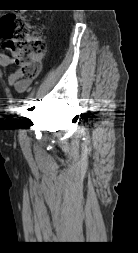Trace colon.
Instances as JSON below:
<instances>
[{
    "label": "colon",
    "instance_id": "colon-1",
    "mask_svg": "<svg viewBox=\"0 0 138 253\" xmlns=\"http://www.w3.org/2000/svg\"><path fill=\"white\" fill-rule=\"evenodd\" d=\"M0 36L23 75L28 78L36 76L46 51V44L39 30L31 26L24 17L8 14L0 19Z\"/></svg>",
    "mask_w": 138,
    "mask_h": 253
}]
</instances>
